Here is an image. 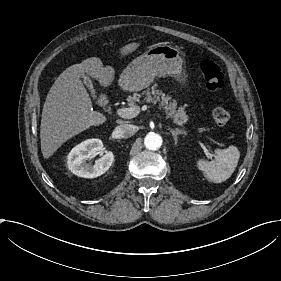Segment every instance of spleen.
I'll return each mask as SVG.
<instances>
[{
	"mask_svg": "<svg viewBox=\"0 0 281 281\" xmlns=\"http://www.w3.org/2000/svg\"><path fill=\"white\" fill-rule=\"evenodd\" d=\"M240 152L237 147L229 146L226 149H216L215 159L197 162L198 168L204 172L208 181L221 183L231 177L237 167Z\"/></svg>",
	"mask_w": 281,
	"mask_h": 281,
	"instance_id": "spleen-1",
	"label": "spleen"
}]
</instances>
